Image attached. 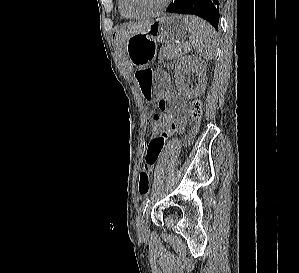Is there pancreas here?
<instances>
[{"instance_id": "pancreas-1", "label": "pancreas", "mask_w": 299, "mask_h": 273, "mask_svg": "<svg viewBox=\"0 0 299 273\" xmlns=\"http://www.w3.org/2000/svg\"><path fill=\"white\" fill-rule=\"evenodd\" d=\"M190 50V47L186 44H167L162 47L159 51V60H171L175 57L182 56L184 53H187Z\"/></svg>"}]
</instances>
